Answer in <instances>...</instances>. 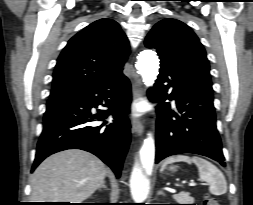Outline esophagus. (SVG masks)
<instances>
[{"mask_svg":"<svg viewBox=\"0 0 253 205\" xmlns=\"http://www.w3.org/2000/svg\"><path fill=\"white\" fill-rule=\"evenodd\" d=\"M132 96L134 102L138 101L143 96V89L139 86L137 82V76L135 72H133ZM131 124H132V132L138 136L142 135L144 130L142 120L133 118Z\"/></svg>","mask_w":253,"mask_h":205,"instance_id":"esophagus-1","label":"esophagus"}]
</instances>
